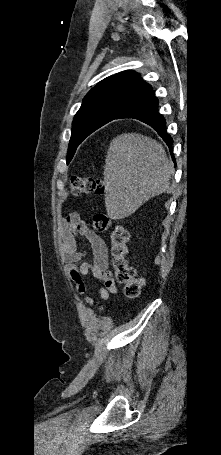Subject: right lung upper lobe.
Wrapping results in <instances>:
<instances>
[{
	"mask_svg": "<svg viewBox=\"0 0 221 455\" xmlns=\"http://www.w3.org/2000/svg\"><path fill=\"white\" fill-rule=\"evenodd\" d=\"M151 94L152 87L138 73L124 71L99 82L85 96L82 106L111 104L125 111Z\"/></svg>",
	"mask_w": 221,
	"mask_h": 455,
	"instance_id": "cb5924a9",
	"label": "right lung upper lobe"
}]
</instances>
